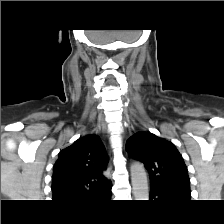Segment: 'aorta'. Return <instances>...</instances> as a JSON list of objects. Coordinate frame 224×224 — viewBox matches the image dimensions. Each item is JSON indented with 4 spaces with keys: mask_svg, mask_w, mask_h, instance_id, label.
Instances as JSON below:
<instances>
[{
    "mask_svg": "<svg viewBox=\"0 0 224 224\" xmlns=\"http://www.w3.org/2000/svg\"><path fill=\"white\" fill-rule=\"evenodd\" d=\"M131 182L135 200H148L149 186L147 173L143 164L134 162L130 166Z\"/></svg>",
    "mask_w": 224,
    "mask_h": 224,
    "instance_id": "762f6f07",
    "label": "aorta"
}]
</instances>
